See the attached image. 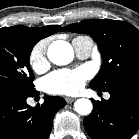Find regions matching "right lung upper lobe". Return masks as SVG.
<instances>
[{"label": "right lung upper lobe", "instance_id": "right-lung-upper-lobe-1", "mask_svg": "<svg viewBox=\"0 0 139 139\" xmlns=\"http://www.w3.org/2000/svg\"><path fill=\"white\" fill-rule=\"evenodd\" d=\"M0 30H5V31H14V32H19L22 34L26 35H31L37 39H43L45 37H48L52 35L55 32L58 31H64V29L60 26H44V27H24V26H12V27H3Z\"/></svg>", "mask_w": 139, "mask_h": 139}]
</instances>
